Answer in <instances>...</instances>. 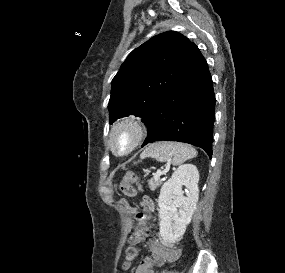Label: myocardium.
<instances>
[{"label":"myocardium","instance_id":"1","mask_svg":"<svg viewBox=\"0 0 285 273\" xmlns=\"http://www.w3.org/2000/svg\"><path fill=\"white\" fill-rule=\"evenodd\" d=\"M128 129L131 134V138L128 146L119 151L115 146V138L118 133L123 130ZM147 134V128L145 123L138 117L134 115H127L118 120H116L109 131L107 137V144L110 151L118 157H125L133 153L144 141Z\"/></svg>","mask_w":285,"mask_h":273}]
</instances>
